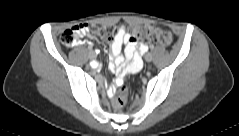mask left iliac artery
I'll return each mask as SVG.
<instances>
[{"label": "left iliac artery", "instance_id": "obj_1", "mask_svg": "<svg viewBox=\"0 0 239 136\" xmlns=\"http://www.w3.org/2000/svg\"><path fill=\"white\" fill-rule=\"evenodd\" d=\"M154 49V45H150V50H153Z\"/></svg>", "mask_w": 239, "mask_h": 136}]
</instances>
